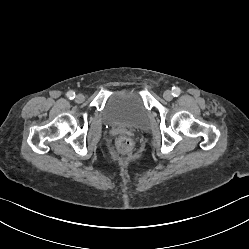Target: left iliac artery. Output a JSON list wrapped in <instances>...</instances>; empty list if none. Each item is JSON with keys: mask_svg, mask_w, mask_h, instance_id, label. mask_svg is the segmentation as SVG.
Segmentation results:
<instances>
[{"mask_svg": "<svg viewBox=\"0 0 249 249\" xmlns=\"http://www.w3.org/2000/svg\"><path fill=\"white\" fill-rule=\"evenodd\" d=\"M180 93H181L180 88H178V87H173V88H172V95H173V96L177 97V96L180 95Z\"/></svg>", "mask_w": 249, "mask_h": 249, "instance_id": "44dca946", "label": "left iliac artery"}]
</instances>
